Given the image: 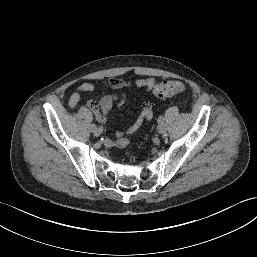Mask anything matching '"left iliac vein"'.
I'll list each match as a JSON object with an SVG mask.
<instances>
[{"mask_svg": "<svg viewBox=\"0 0 257 257\" xmlns=\"http://www.w3.org/2000/svg\"><path fill=\"white\" fill-rule=\"evenodd\" d=\"M157 131L160 134H164L166 132V126L163 123L159 124L157 127Z\"/></svg>", "mask_w": 257, "mask_h": 257, "instance_id": "1", "label": "left iliac vein"}]
</instances>
